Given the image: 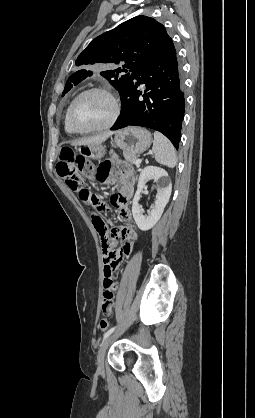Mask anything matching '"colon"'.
<instances>
[{
    "label": "colon",
    "mask_w": 255,
    "mask_h": 418,
    "mask_svg": "<svg viewBox=\"0 0 255 418\" xmlns=\"http://www.w3.org/2000/svg\"><path fill=\"white\" fill-rule=\"evenodd\" d=\"M57 172L66 180L72 190L79 192L82 202L89 208L97 230L99 227H106L102 218L97 214V210L102 205L100 198L89 189L83 187L84 179H89L94 176V165L86 161L83 157L77 156L71 148L64 147L60 150ZM108 325L109 323L106 318H102L99 322V327L103 331L108 328Z\"/></svg>",
    "instance_id": "obj_1"
}]
</instances>
